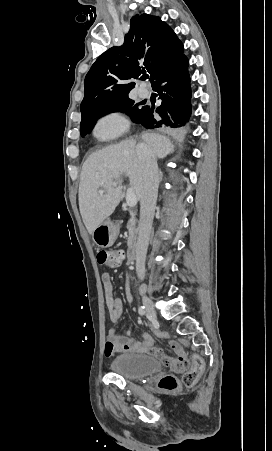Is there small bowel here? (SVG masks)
Segmentation results:
<instances>
[{"mask_svg":"<svg viewBox=\"0 0 272 451\" xmlns=\"http://www.w3.org/2000/svg\"><path fill=\"white\" fill-rule=\"evenodd\" d=\"M101 280L103 284L105 302L109 309L110 320L113 323H116L123 315L122 300L115 295L112 278L109 272H103L101 275ZM126 296L128 301L132 302L133 296L130 291L129 284L126 286ZM129 334L130 333L127 335H121L116 328H110L105 344V355L110 357L115 352H121L124 354L151 353L157 358L158 352H164L161 348L154 345V340L150 334L143 333L140 340H136L135 338L129 336ZM172 343H177L179 348H183L176 341H170L169 347Z\"/></svg>","mask_w":272,"mask_h":451,"instance_id":"1","label":"small bowel"}]
</instances>
